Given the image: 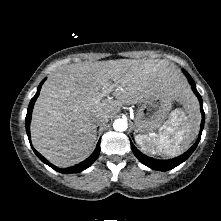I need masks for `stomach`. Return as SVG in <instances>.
I'll return each mask as SVG.
<instances>
[{
	"label": "stomach",
	"mask_w": 221,
	"mask_h": 221,
	"mask_svg": "<svg viewBox=\"0 0 221 221\" xmlns=\"http://www.w3.org/2000/svg\"><path fill=\"white\" fill-rule=\"evenodd\" d=\"M176 100V94L168 90L157 92L144 100L134 119L136 132L149 135L161 130L170 117L169 111Z\"/></svg>",
	"instance_id": "1"
}]
</instances>
